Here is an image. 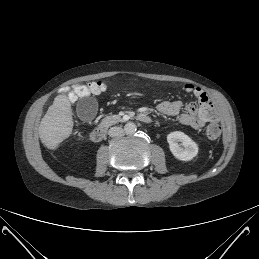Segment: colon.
<instances>
[{
    "label": "colon",
    "instance_id": "colon-1",
    "mask_svg": "<svg viewBox=\"0 0 259 259\" xmlns=\"http://www.w3.org/2000/svg\"><path fill=\"white\" fill-rule=\"evenodd\" d=\"M106 89V85L103 81H94L86 84H78L68 89V95L70 99L74 100L77 97H84L91 93L98 94ZM187 91L193 92L196 98L204 103V110L206 112V117L209 120H216L219 117V110L216 107H212L208 101V93L204 91L201 87L194 88L193 86H185ZM221 134V128L216 122H211L208 124L205 130V135L208 140H216Z\"/></svg>",
    "mask_w": 259,
    "mask_h": 259
}]
</instances>
